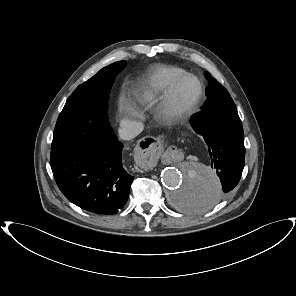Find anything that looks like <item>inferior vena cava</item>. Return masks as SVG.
Listing matches in <instances>:
<instances>
[{
	"mask_svg": "<svg viewBox=\"0 0 296 296\" xmlns=\"http://www.w3.org/2000/svg\"><path fill=\"white\" fill-rule=\"evenodd\" d=\"M143 130V124L140 122H131L129 124L124 125L119 130V136L123 140H131L140 134Z\"/></svg>",
	"mask_w": 296,
	"mask_h": 296,
	"instance_id": "inferior-vena-cava-1",
	"label": "inferior vena cava"
}]
</instances>
